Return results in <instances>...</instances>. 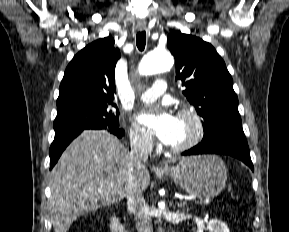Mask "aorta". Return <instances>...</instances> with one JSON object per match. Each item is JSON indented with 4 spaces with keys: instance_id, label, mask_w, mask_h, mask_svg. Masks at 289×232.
<instances>
[{
    "instance_id": "762f6f07",
    "label": "aorta",
    "mask_w": 289,
    "mask_h": 232,
    "mask_svg": "<svg viewBox=\"0 0 289 232\" xmlns=\"http://www.w3.org/2000/svg\"><path fill=\"white\" fill-rule=\"evenodd\" d=\"M174 59L168 51L153 50L141 60L139 72L142 75H153L170 70Z\"/></svg>"
}]
</instances>
